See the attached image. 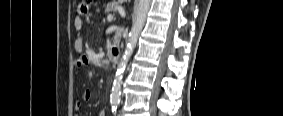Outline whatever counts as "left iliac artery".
<instances>
[{"label":"left iliac artery","mask_w":283,"mask_h":116,"mask_svg":"<svg viewBox=\"0 0 283 116\" xmlns=\"http://www.w3.org/2000/svg\"><path fill=\"white\" fill-rule=\"evenodd\" d=\"M112 112L116 114L117 112V104L112 105Z\"/></svg>","instance_id":"obj_1"}]
</instances>
